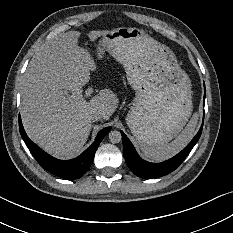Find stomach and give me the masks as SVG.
Masks as SVG:
<instances>
[{"label":"stomach","mask_w":233,"mask_h":233,"mask_svg":"<svg viewBox=\"0 0 233 233\" xmlns=\"http://www.w3.org/2000/svg\"><path fill=\"white\" fill-rule=\"evenodd\" d=\"M109 53L125 70L135 99L126 122L141 147L177 137L192 110L191 80L173 51L143 29L119 27L101 36L96 55Z\"/></svg>","instance_id":"1"}]
</instances>
